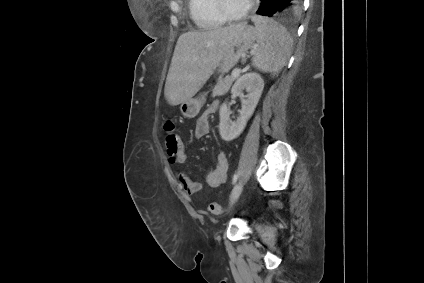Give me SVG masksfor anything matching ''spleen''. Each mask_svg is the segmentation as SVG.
<instances>
[{
    "label": "spleen",
    "mask_w": 424,
    "mask_h": 283,
    "mask_svg": "<svg viewBox=\"0 0 424 283\" xmlns=\"http://www.w3.org/2000/svg\"><path fill=\"white\" fill-rule=\"evenodd\" d=\"M258 48L253 54V66L264 73L277 75L291 55L292 38L285 27L272 19L253 16Z\"/></svg>",
    "instance_id": "obj_1"
}]
</instances>
